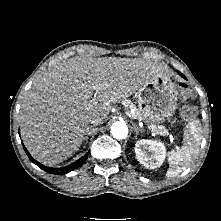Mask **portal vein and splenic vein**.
I'll use <instances>...</instances> for the list:
<instances>
[{"instance_id": "18ae733b", "label": "portal vein and splenic vein", "mask_w": 221, "mask_h": 221, "mask_svg": "<svg viewBox=\"0 0 221 221\" xmlns=\"http://www.w3.org/2000/svg\"><path fill=\"white\" fill-rule=\"evenodd\" d=\"M92 101L94 102V101H95V99H92ZM128 115H129V116H131V114H129V113H128Z\"/></svg>"}]
</instances>
